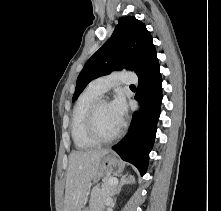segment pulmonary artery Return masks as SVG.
Returning <instances> with one entry per match:
<instances>
[{
    "label": "pulmonary artery",
    "mask_w": 221,
    "mask_h": 211,
    "mask_svg": "<svg viewBox=\"0 0 221 211\" xmlns=\"http://www.w3.org/2000/svg\"><path fill=\"white\" fill-rule=\"evenodd\" d=\"M137 76L133 72L117 71L93 80L90 85L100 93L120 84H135Z\"/></svg>",
    "instance_id": "obj_1"
}]
</instances>
